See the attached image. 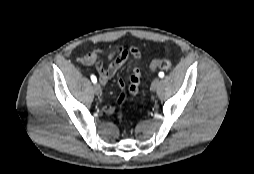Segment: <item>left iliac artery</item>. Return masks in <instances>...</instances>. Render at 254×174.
I'll use <instances>...</instances> for the list:
<instances>
[{
    "label": "left iliac artery",
    "mask_w": 254,
    "mask_h": 174,
    "mask_svg": "<svg viewBox=\"0 0 254 174\" xmlns=\"http://www.w3.org/2000/svg\"><path fill=\"white\" fill-rule=\"evenodd\" d=\"M158 75H159L160 78H163L164 77V72H159Z\"/></svg>",
    "instance_id": "left-iliac-artery-1"
}]
</instances>
